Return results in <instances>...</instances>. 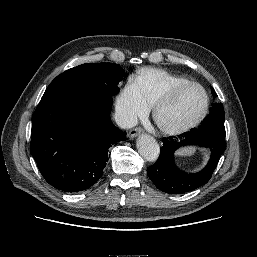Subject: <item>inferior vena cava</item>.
Here are the masks:
<instances>
[{
    "instance_id": "obj_1",
    "label": "inferior vena cava",
    "mask_w": 257,
    "mask_h": 257,
    "mask_svg": "<svg viewBox=\"0 0 257 257\" xmlns=\"http://www.w3.org/2000/svg\"><path fill=\"white\" fill-rule=\"evenodd\" d=\"M114 119L117 125L123 129L132 128L138 123L137 116L121 108H116Z\"/></svg>"
}]
</instances>
